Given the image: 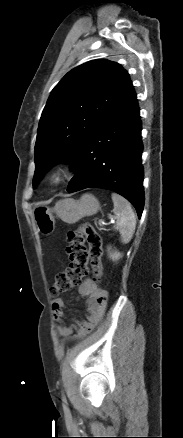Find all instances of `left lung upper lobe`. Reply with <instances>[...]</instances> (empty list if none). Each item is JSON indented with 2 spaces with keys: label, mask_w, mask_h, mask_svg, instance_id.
Returning a JSON list of instances; mask_svg holds the SVG:
<instances>
[{
  "label": "left lung upper lobe",
  "mask_w": 183,
  "mask_h": 438,
  "mask_svg": "<svg viewBox=\"0 0 183 438\" xmlns=\"http://www.w3.org/2000/svg\"><path fill=\"white\" fill-rule=\"evenodd\" d=\"M132 91L127 71L116 62L93 60L68 72L52 90L41 115L33 185L53 164L70 162Z\"/></svg>",
  "instance_id": "left-lung-upper-lobe-1"
}]
</instances>
